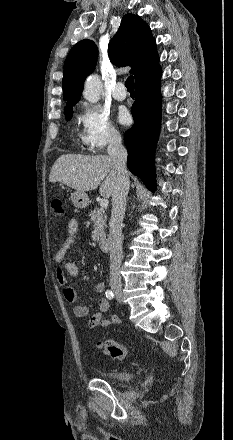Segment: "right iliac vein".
<instances>
[{
	"label": "right iliac vein",
	"instance_id": "63e3f726",
	"mask_svg": "<svg viewBox=\"0 0 233 440\" xmlns=\"http://www.w3.org/2000/svg\"><path fill=\"white\" fill-rule=\"evenodd\" d=\"M111 288H112L114 294L116 295L117 299H118L119 301H122V289H121V286H120V285L113 284V285L111 286Z\"/></svg>",
	"mask_w": 233,
	"mask_h": 440
}]
</instances>
